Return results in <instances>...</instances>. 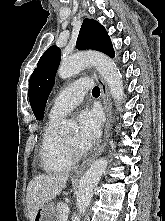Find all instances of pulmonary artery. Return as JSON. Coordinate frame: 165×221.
<instances>
[{"instance_id": "e3ab8cb5", "label": "pulmonary artery", "mask_w": 165, "mask_h": 221, "mask_svg": "<svg viewBox=\"0 0 165 221\" xmlns=\"http://www.w3.org/2000/svg\"><path fill=\"white\" fill-rule=\"evenodd\" d=\"M91 86L92 81L89 78H82L69 84L54 99L49 117L62 118L83 101L86 91Z\"/></svg>"}]
</instances>
